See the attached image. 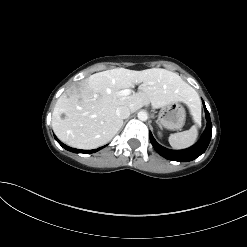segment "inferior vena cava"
<instances>
[{
	"mask_svg": "<svg viewBox=\"0 0 247 247\" xmlns=\"http://www.w3.org/2000/svg\"><path fill=\"white\" fill-rule=\"evenodd\" d=\"M130 109L127 106H120L116 109V115L121 119H126L130 116Z\"/></svg>",
	"mask_w": 247,
	"mask_h": 247,
	"instance_id": "602c4592",
	"label": "inferior vena cava"
}]
</instances>
